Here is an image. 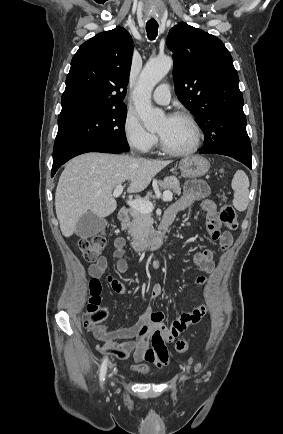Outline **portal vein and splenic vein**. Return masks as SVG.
<instances>
[{"instance_id": "18ae733b", "label": "portal vein and splenic vein", "mask_w": 283, "mask_h": 434, "mask_svg": "<svg viewBox=\"0 0 283 434\" xmlns=\"http://www.w3.org/2000/svg\"><path fill=\"white\" fill-rule=\"evenodd\" d=\"M123 188L124 187L122 185H117L115 187L114 192H113V196L114 197L120 196L121 193L123 192ZM162 199L165 202L172 201V192L171 191H165V192H163ZM127 204L131 208H133V209H135V210H137L139 212H142V213H150L154 209V206H153V204L150 201L143 200V199L129 200V201H127Z\"/></svg>"}]
</instances>
